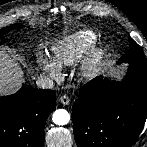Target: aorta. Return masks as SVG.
<instances>
[{"label": "aorta", "instance_id": "obj_1", "mask_svg": "<svg viewBox=\"0 0 147 147\" xmlns=\"http://www.w3.org/2000/svg\"><path fill=\"white\" fill-rule=\"evenodd\" d=\"M53 122L56 125H66L70 120V115L65 109H58L53 113Z\"/></svg>", "mask_w": 147, "mask_h": 147}]
</instances>
